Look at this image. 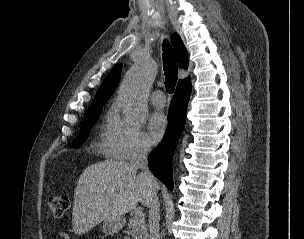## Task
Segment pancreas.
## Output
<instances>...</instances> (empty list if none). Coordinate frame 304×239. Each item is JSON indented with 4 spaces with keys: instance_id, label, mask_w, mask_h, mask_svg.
<instances>
[{
    "instance_id": "1",
    "label": "pancreas",
    "mask_w": 304,
    "mask_h": 239,
    "mask_svg": "<svg viewBox=\"0 0 304 239\" xmlns=\"http://www.w3.org/2000/svg\"><path fill=\"white\" fill-rule=\"evenodd\" d=\"M126 239H147V227L145 221H140L136 217L129 220L128 229L125 231Z\"/></svg>"
}]
</instances>
